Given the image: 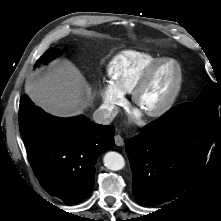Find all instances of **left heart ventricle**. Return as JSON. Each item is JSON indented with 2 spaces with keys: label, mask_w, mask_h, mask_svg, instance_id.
Returning <instances> with one entry per match:
<instances>
[{
  "label": "left heart ventricle",
  "mask_w": 221,
  "mask_h": 221,
  "mask_svg": "<svg viewBox=\"0 0 221 221\" xmlns=\"http://www.w3.org/2000/svg\"><path fill=\"white\" fill-rule=\"evenodd\" d=\"M175 80L176 70L173 64L167 63L159 67L149 87L141 97V107L150 109L165 101L173 90Z\"/></svg>",
  "instance_id": "b2bd125f"
}]
</instances>
